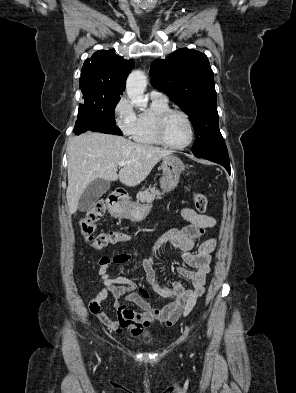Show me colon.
<instances>
[{
  "label": "colon",
  "mask_w": 296,
  "mask_h": 393,
  "mask_svg": "<svg viewBox=\"0 0 296 393\" xmlns=\"http://www.w3.org/2000/svg\"><path fill=\"white\" fill-rule=\"evenodd\" d=\"M192 200L195 209L202 213L206 210L207 199L201 193H194ZM105 202L100 200L87 212L86 216L80 221V231L84 240L96 249H102L109 245H114L127 240V237L118 231L95 234L96 223L105 213Z\"/></svg>",
  "instance_id": "1"
}]
</instances>
